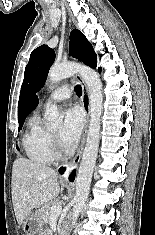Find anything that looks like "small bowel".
Returning <instances> with one entry per match:
<instances>
[{
	"label": "small bowel",
	"mask_w": 155,
	"mask_h": 235,
	"mask_svg": "<svg viewBox=\"0 0 155 235\" xmlns=\"http://www.w3.org/2000/svg\"><path fill=\"white\" fill-rule=\"evenodd\" d=\"M41 235H48L47 233H42Z\"/></svg>",
	"instance_id": "1"
}]
</instances>
